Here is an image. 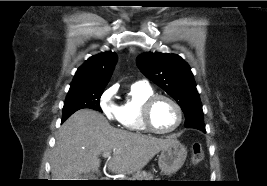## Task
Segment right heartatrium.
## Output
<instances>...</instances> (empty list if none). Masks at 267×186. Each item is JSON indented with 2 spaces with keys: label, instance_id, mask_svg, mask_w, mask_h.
Segmentation results:
<instances>
[{
  "label": "right heart atrium",
  "instance_id": "right-heart-atrium-1",
  "mask_svg": "<svg viewBox=\"0 0 267 186\" xmlns=\"http://www.w3.org/2000/svg\"><path fill=\"white\" fill-rule=\"evenodd\" d=\"M116 90L109 88L105 90L100 97L99 105L103 114L110 120L115 119L117 116V108L114 103V95Z\"/></svg>",
  "mask_w": 267,
  "mask_h": 186
}]
</instances>
